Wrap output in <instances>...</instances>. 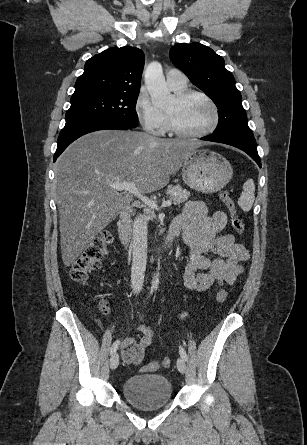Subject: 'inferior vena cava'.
<instances>
[{"instance_id": "1", "label": "inferior vena cava", "mask_w": 307, "mask_h": 445, "mask_svg": "<svg viewBox=\"0 0 307 445\" xmlns=\"http://www.w3.org/2000/svg\"><path fill=\"white\" fill-rule=\"evenodd\" d=\"M147 225L144 218L136 216L133 223V261L131 269V287L133 293L142 291L147 259Z\"/></svg>"}]
</instances>
